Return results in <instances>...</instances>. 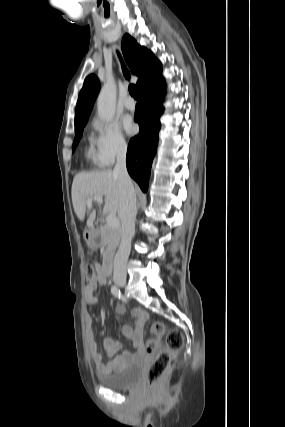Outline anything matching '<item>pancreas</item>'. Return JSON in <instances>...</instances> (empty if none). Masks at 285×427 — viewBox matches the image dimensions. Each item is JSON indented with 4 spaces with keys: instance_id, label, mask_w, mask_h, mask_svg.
<instances>
[{
    "instance_id": "1",
    "label": "pancreas",
    "mask_w": 285,
    "mask_h": 427,
    "mask_svg": "<svg viewBox=\"0 0 285 427\" xmlns=\"http://www.w3.org/2000/svg\"><path fill=\"white\" fill-rule=\"evenodd\" d=\"M121 235V228L111 227L107 223L100 226V236L102 244L109 250L114 251L118 246Z\"/></svg>"
}]
</instances>
